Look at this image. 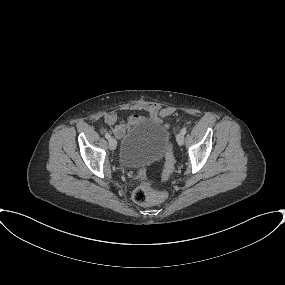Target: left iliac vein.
I'll list each match as a JSON object with an SVG mask.
<instances>
[{
    "mask_svg": "<svg viewBox=\"0 0 285 285\" xmlns=\"http://www.w3.org/2000/svg\"><path fill=\"white\" fill-rule=\"evenodd\" d=\"M176 140H177V143L179 145H183L184 143V134H182L181 132L177 134L176 136Z\"/></svg>",
    "mask_w": 285,
    "mask_h": 285,
    "instance_id": "left-iliac-vein-1",
    "label": "left iliac vein"
}]
</instances>
